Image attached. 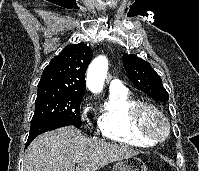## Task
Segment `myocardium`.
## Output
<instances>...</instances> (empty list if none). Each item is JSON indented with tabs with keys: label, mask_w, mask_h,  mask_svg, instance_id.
Here are the masks:
<instances>
[{
	"label": "myocardium",
	"mask_w": 199,
	"mask_h": 171,
	"mask_svg": "<svg viewBox=\"0 0 199 171\" xmlns=\"http://www.w3.org/2000/svg\"><path fill=\"white\" fill-rule=\"evenodd\" d=\"M150 114L157 116L162 123L160 129L150 125L148 117ZM133 121L137 131L156 142H160L169 137L171 125L166 114L151 102H139L133 110Z\"/></svg>",
	"instance_id": "obj_1"
}]
</instances>
